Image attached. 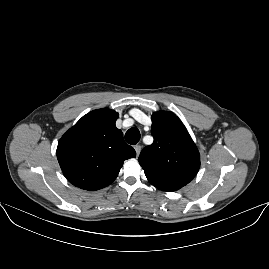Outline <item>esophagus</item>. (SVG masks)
<instances>
[{"instance_id": "esophagus-1", "label": "esophagus", "mask_w": 269, "mask_h": 269, "mask_svg": "<svg viewBox=\"0 0 269 269\" xmlns=\"http://www.w3.org/2000/svg\"><path fill=\"white\" fill-rule=\"evenodd\" d=\"M134 149L136 151V158H138L139 157V154L141 152V146L140 145H135L134 146Z\"/></svg>"}]
</instances>
